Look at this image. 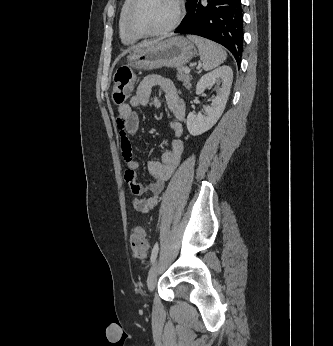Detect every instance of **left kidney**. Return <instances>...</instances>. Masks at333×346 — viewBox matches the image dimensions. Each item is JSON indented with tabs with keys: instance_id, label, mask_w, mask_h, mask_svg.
Listing matches in <instances>:
<instances>
[{
	"instance_id": "obj_1",
	"label": "left kidney",
	"mask_w": 333,
	"mask_h": 346,
	"mask_svg": "<svg viewBox=\"0 0 333 346\" xmlns=\"http://www.w3.org/2000/svg\"><path fill=\"white\" fill-rule=\"evenodd\" d=\"M233 71L229 66H221L203 75L197 85L196 94H201L217 82L221 83L218 94L212 99L211 106L205 108V115L190 112L187 116V129L192 136H198L211 129L221 117L232 85Z\"/></svg>"
}]
</instances>
